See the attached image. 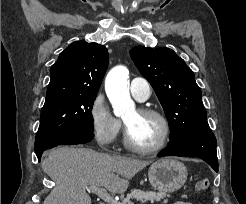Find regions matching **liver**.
<instances>
[{"instance_id": "obj_1", "label": "liver", "mask_w": 246, "mask_h": 204, "mask_svg": "<svg viewBox=\"0 0 246 204\" xmlns=\"http://www.w3.org/2000/svg\"><path fill=\"white\" fill-rule=\"evenodd\" d=\"M151 161L99 153L88 148L58 147L42 161L55 182L43 204H91L87 186H102L124 193L129 180Z\"/></svg>"}]
</instances>
